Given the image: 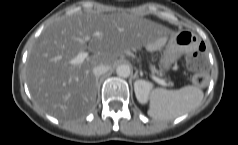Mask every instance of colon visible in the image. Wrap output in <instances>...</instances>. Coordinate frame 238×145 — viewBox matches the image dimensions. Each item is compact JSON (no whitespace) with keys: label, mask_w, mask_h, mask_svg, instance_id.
<instances>
[{"label":"colon","mask_w":238,"mask_h":145,"mask_svg":"<svg viewBox=\"0 0 238 145\" xmlns=\"http://www.w3.org/2000/svg\"><path fill=\"white\" fill-rule=\"evenodd\" d=\"M188 65L198 73L194 77V83L203 86L207 82L206 77V49L201 44L198 50L189 58Z\"/></svg>","instance_id":"5ec220e1"}]
</instances>
